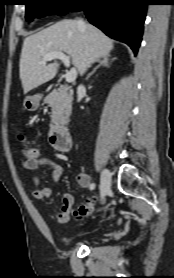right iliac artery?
Instances as JSON below:
<instances>
[{"label": "right iliac artery", "mask_w": 174, "mask_h": 278, "mask_svg": "<svg viewBox=\"0 0 174 278\" xmlns=\"http://www.w3.org/2000/svg\"><path fill=\"white\" fill-rule=\"evenodd\" d=\"M95 188V184L93 183L92 185H91V190H93Z\"/></svg>", "instance_id": "1"}]
</instances>
